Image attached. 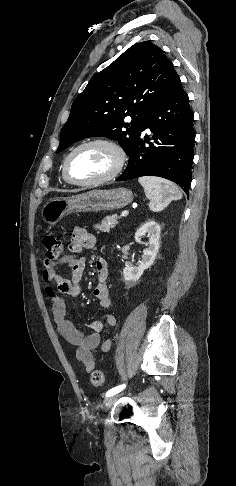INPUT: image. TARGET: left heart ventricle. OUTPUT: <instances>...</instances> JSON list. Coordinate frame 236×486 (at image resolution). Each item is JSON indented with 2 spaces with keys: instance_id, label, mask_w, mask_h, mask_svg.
Masks as SVG:
<instances>
[{
  "instance_id": "b2bd125f",
  "label": "left heart ventricle",
  "mask_w": 236,
  "mask_h": 486,
  "mask_svg": "<svg viewBox=\"0 0 236 486\" xmlns=\"http://www.w3.org/2000/svg\"><path fill=\"white\" fill-rule=\"evenodd\" d=\"M115 163V154L108 147L88 146L77 151L71 158L69 173L75 180L89 181L109 173Z\"/></svg>"
}]
</instances>
